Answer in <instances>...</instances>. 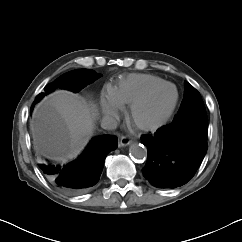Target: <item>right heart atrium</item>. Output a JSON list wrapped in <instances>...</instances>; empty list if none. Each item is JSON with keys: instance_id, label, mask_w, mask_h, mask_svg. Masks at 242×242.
<instances>
[{"instance_id": "d8ad5b80", "label": "right heart atrium", "mask_w": 242, "mask_h": 242, "mask_svg": "<svg viewBox=\"0 0 242 242\" xmlns=\"http://www.w3.org/2000/svg\"><path fill=\"white\" fill-rule=\"evenodd\" d=\"M101 108L105 117L111 118L118 115L123 106L117 101L112 93L107 92L101 96Z\"/></svg>"}]
</instances>
